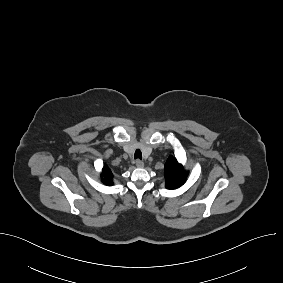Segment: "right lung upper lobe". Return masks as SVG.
I'll return each mask as SVG.
<instances>
[{"instance_id": "cb5924a9", "label": "right lung upper lobe", "mask_w": 283, "mask_h": 283, "mask_svg": "<svg viewBox=\"0 0 283 283\" xmlns=\"http://www.w3.org/2000/svg\"><path fill=\"white\" fill-rule=\"evenodd\" d=\"M102 181L106 184V185H112V172L110 170V168L105 164L102 170Z\"/></svg>"}]
</instances>
